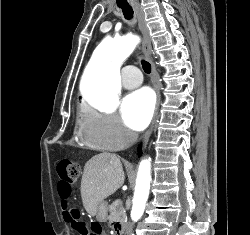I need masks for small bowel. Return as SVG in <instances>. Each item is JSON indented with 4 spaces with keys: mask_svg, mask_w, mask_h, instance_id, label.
<instances>
[{
    "mask_svg": "<svg viewBox=\"0 0 250 235\" xmlns=\"http://www.w3.org/2000/svg\"><path fill=\"white\" fill-rule=\"evenodd\" d=\"M79 235H102L101 232L96 228H84L82 232H80Z\"/></svg>",
    "mask_w": 250,
    "mask_h": 235,
    "instance_id": "obj_1",
    "label": "small bowel"
}]
</instances>
